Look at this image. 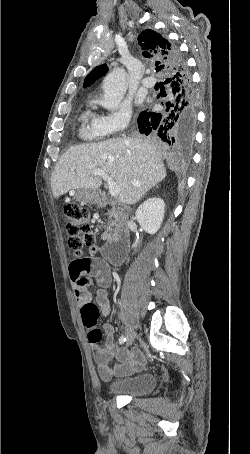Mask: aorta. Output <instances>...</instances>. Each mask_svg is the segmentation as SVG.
<instances>
[{"mask_svg":"<svg viewBox=\"0 0 250 454\" xmlns=\"http://www.w3.org/2000/svg\"><path fill=\"white\" fill-rule=\"evenodd\" d=\"M127 73L122 68L112 70L103 81L104 94L101 105L110 110L116 109L124 98L127 90Z\"/></svg>","mask_w":250,"mask_h":454,"instance_id":"obj_1","label":"aorta"}]
</instances>
